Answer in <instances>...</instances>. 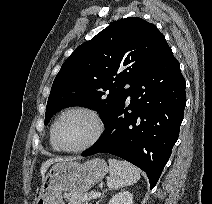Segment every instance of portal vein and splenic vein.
Listing matches in <instances>:
<instances>
[{
	"instance_id": "1",
	"label": "portal vein and splenic vein",
	"mask_w": 212,
	"mask_h": 204,
	"mask_svg": "<svg viewBox=\"0 0 212 204\" xmlns=\"http://www.w3.org/2000/svg\"><path fill=\"white\" fill-rule=\"evenodd\" d=\"M100 195H101L100 192H95V193H93L92 198H93V199H96V198L99 197Z\"/></svg>"
}]
</instances>
